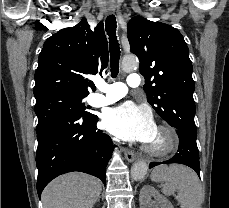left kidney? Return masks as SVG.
Instances as JSON below:
<instances>
[{
    "label": "left kidney",
    "mask_w": 229,
    "mask_h": 208,
    "mask_svg": "<svg viewBox=\"0 0 229 208\" xmlns=\"http://www.w3.org/2000/svg\"><path fill=\"white\" fill-rule=\"evenodd\" d=\"M152 198H155L157 202H153ZM140 208H173L167 198L158 194L155 188L152 186H143L139 196Z\"/></svg>",
    "instance_id": "obj_1"
}]
</instances>
